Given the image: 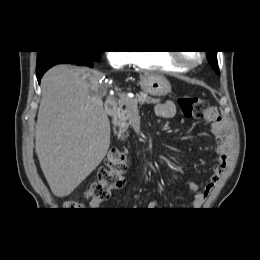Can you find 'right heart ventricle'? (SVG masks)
<instances>
[{
  "mask_svg": "<svg viewBox=\"0 0 260 260\" xmlns=\"http://www.w3.org/2000/svg\"><path fill=\"white\" fill-rule=\"evenodd\" d=\"M133 64L141 69L158 70L169 73H182L183 68L176 66L164 51H135Z\"/></svg>",
  "mask_w": 260,
  "mask_h": 260,
  "instance_id": "1",
  "label": "right heart ventricle"
}]
</instances>
